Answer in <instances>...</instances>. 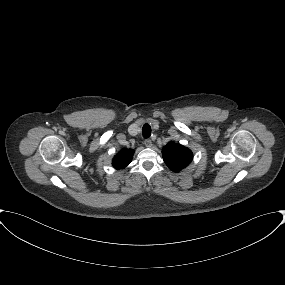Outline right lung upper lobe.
<instances>
[{
  "instance_id": "cb5924a9",
  "label": "right lung upper lobe",
  "mask_w": 285,
  "mask_h": 285,
  "mask_svg": "<svg viewBox=\"0 0 285 285\" xmlns=\"http://www.w3.org/2000/svg\"><path fill=\"white\" fill-rule=\"evenodd\" d=\"M134 151L132 149H123L113 158L112 165L116 169L126 167L133 158Z\"/></svg>"
}]
</instances>
